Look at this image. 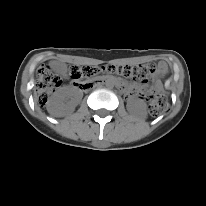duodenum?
<instances>
[{"label":"duodenum","mask_w":206,"mask_h":206,"mask_svg":"<svg viewBox=\"0 0 206 206\" xmlns=\"http://www.w3.org/2000/svg\"><path fill=\"white\" fill-rule=\"evenodd\" d=\"M106 83V84H111L113 83L115 86H123V83L118 80L117 78L112 79L111 77L103 76L102 78L96 79L94 81L88 82L83 85L84 89H91L93 88L96 84L100 83Z\"/></svg>","instance_id":"1"}]
</instances>
